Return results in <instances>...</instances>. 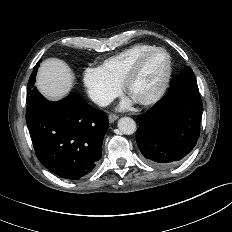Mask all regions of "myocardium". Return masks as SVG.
I'll list each match as a JSON object with an SVG mask.
<instances>
[{"label":"myocardium","instance_id":"myocardium-1","mask_svg":"<svg viewBox=\"0 0 232 232\" xmlns=\"http://www.w3.org/2000/svg\"><path fill=\"white\" fill-rule=\"evenodd\" d=\"M155 52H163L166 57H167V68H166V73L164 76V79L160 85V87L157 89V91L151 95L150 97L146 98V99H142L137 101V103L147 106V105H151L154 104L156 102H158L163 95L165 94V92L168 89V86L170 84L171 81V77H172V58L170 53L162 48V47H152L150 49H148L147 51L141 53L132 63V65L130 66L128 72L126 73L124 80L122 82V87L123 90L128 93L129 91V87L131 85V83L133 82V80L136 78V76L138 75L144 61L146 60V58L148 56H150L151 54L155 53Z\"/></svg>","mask_w":232,"mask_h":232}]
</instances>
